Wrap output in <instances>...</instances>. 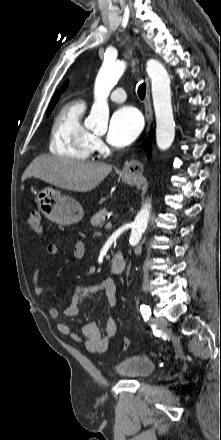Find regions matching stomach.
<instances>
[{"instance_id": "obj_1", "label": "stomach", "mask_w": 221, "mask_h": 440, "mask_svg": "<svg viewBox=\"0 0 221 440\" xmlns=\"http://www.w3.org/2000/svg\"><path fill=\"white\" fill-rule=\"evenodd\" d=\"M122 180L133 185L137 182L138 176L123 172ZM37 203L42 214L59 225H70L79 222L84 215L83 208L78 201L62 195L60 191L52 187H46L38 192Z\"/></svg>"}]
</instances>
